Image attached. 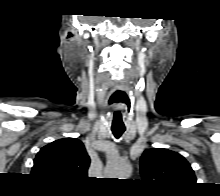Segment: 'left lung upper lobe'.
<instances>
[{"instance_id":"1","label":"left lung upper lobe","mask_w":220,"mask_h":196,"mask_svg":"<svg viewBox=\"0 0 220 196\" xmlns=\"http://www.w3.org/2000/svg\"><path fill=\"white\" fill-rule=\"evenodd\" d=\"M143 180L166 193H180L196 183L190 164L180 154L163 149L145 150L140 161Z\"/></svg>"}]
</instances>
